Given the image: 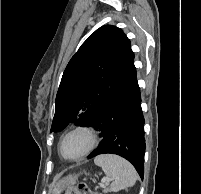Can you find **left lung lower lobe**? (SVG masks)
I'll return each instance as SVG.
<instances>
[{
    "mask_svg": "<svg viewBox=\"0 0 201 194\" xmlns=\"http://www.w3.org/2000/svg\"><path fill=\"white\" fill-rule=\"evenodd\" d=\"M144 117L140 88L133 65L125 79L96 112L89 126L101 131V144L89 158L100 154H117L133 164L141 179L144 176Z\"/></svg>",
    "mask_w": 201,
    "mask_h": 194,
    "instance_id": "obj_1",
    "label": "left lung lower lobe"
}]
</instances>
